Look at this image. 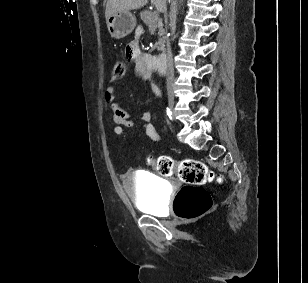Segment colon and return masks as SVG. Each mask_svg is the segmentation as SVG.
Returning <instances> with one entry per match:
<instances>
[{"mask_svg": "<svg viewBox=\"0 0 308 283\" xmlns=\"http://www.w3.org/2000/svg\"><path fill=\"white\" fill-rule=\"evenodd\" d=\"M126 65L117 61L113 66V76L125 75ZM162 176L176 175L184 185L174 199V211L177 216L191 220L205 214L212 206L210 194L201 186L214 180L221 182L216 175L201 161L195 159L175 160L170 156H159L148 159Z\"/></svg>", "mask_w": 308, "mask_h": 283, "instance_id": "obj_1", "label": "colon"}]
</instances>
